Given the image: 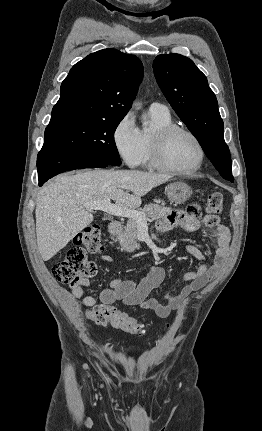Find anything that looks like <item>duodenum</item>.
<instances>
[{"label":"duodenum","mask_w":262,"mask_h":431,"mask_svg":"<svg viewBox=\"0 0 262 431\" xmlns=\"http://www.w3.org/2000/svg\"><path fill=\"white\" fill-rule=\"evenodd\" d=\"M107 230L110 234H118L122 230V223L119 221H112L108 224Z\"/></svg>","instance_id":"duodenum-1"}]
</instances>
